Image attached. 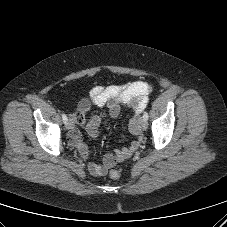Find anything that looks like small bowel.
Listing matches in <instances>:
<instances>
[{"instance_id": "c3829d8e", "label": "small bowel", "mask_w": 227, "mask_h": 227, "mask_svg": "<svg viewBox=\"0 0 227 227\" xmlns=\"http://www.w3.org/2000/svg\"><path fill=\"white\" fill-rule=\"evenodd\" d=\"M151 87L142 81L132 82L123 86H96L88 98H83L78 102L76 112L73 117L78 125L83 127L92 138L98 137V129L102 118L94 116L86 120V112L91 107L103 108L108 110V116L115 118L120 113L121 106H130L133 108L135 117L129 122V130L134 139L127 146L117 149L114 153L106 154L103 163H88V170L94 176H102L107 170L113 167L117 162L123 161L130 157L140 146L142 135L137 124L136 116L139 115L148 103V94ZM71 145L76 147L84 159L90 156V148L84 142L81 133L74 128L69 133Z\"/></svg>"}]
</instances>
